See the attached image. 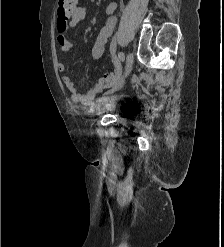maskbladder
Returning <instances> with one entry per match:
<instances>
[{
  "instance_id": "1",
  "label": "bladder",
  "mask_w": 224,
  "mask_h": 247,
  "mask_svg": "<svg viewBox=\"0 0 224 247\" xmlns=\"http://www.w3.org/2000/svg\"><path fill=\"white\" fill-rule=\"evenodd\" d=\"M101 106L105 111L118 113L124 112L129 105V98L126 95H107L101 98Z\"/></svg>"
}]
</instances>
